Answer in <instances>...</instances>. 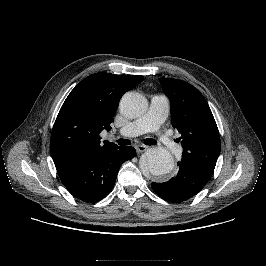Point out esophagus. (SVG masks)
<instances>
[{"instance_id": "34e87169", "label": "esophagus", "mask_w": 266, "mask_h": 266, "mask_svg": "<svg viewBox=\"0 0 266 266\" xmlns=\"http://www.w3.org/2000/svg\"><path fill=\"white\" fill-rule=\"evenodd\" d=\"M135 149L138 153H141V152H144L147 150V146L145 145H136L135 146Z\"/></svg>"}]
</instances>
